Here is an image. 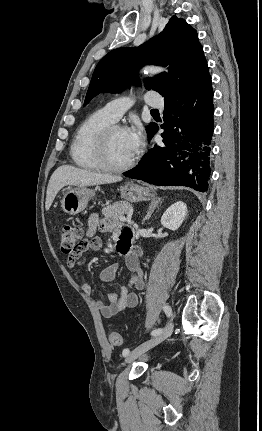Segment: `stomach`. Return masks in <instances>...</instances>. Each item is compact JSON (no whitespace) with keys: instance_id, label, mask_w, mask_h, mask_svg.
<instances>
[{"instance_id":"0dacf381","label":"stomach","mask_w":262,"mask_h":431,"mask_svg":"<svg viewBox=\"0 0 262 431\" xmlns=\"http://www.w3.org/2000/svg\"><path fill=\"white\" fill-rule=\"evenodd\" d=\"M121 197L128 202H140L151 200L154 194L149 187L140 186L134 183H127L120 188ZM95 196V190L87 186L70 189L63 197L61 206L64 212L69 215H76L82 212L88 201Z\"/></svg>"}]
</instances>
